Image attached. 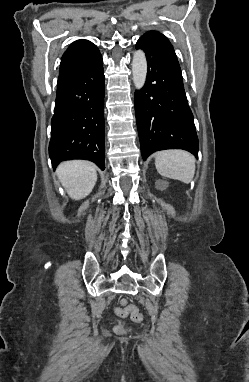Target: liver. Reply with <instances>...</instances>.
<instances>
[{"instance_id":"6515ba94","label":"liver","mask_w":249,"mask_h":382,"mask_svg":"<svg viewBox=\"0 0 249 382\" xmlns=\"http://www.w3.org/2000/svg\"><path fill=\"white\" fill-rule=\"evenodd\" d=\"M56 172L68 195L75 200L87 197L97 181L96 166L88 161L63 162Z\"/></svg>"}]
</instances>
